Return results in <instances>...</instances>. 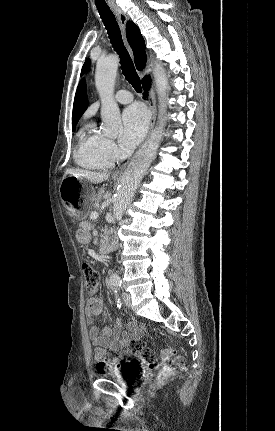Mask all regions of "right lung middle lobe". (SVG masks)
I'll return each mask as SVG.
<instances>
[{"instance_id": "dd1d6c3e", "label": "right lung middle lobe", "mask_w": 275, "mask_h": 431, "mask_svg": "<svg viewBox=\"0 0 275 431\" xmlns=\"http://www.w3.org/2000/svg\"><path fill=\"white\" fill-rule=\"evenodd\" d=\"M75 126H76V125H73V126H72V130H74V129H75Z\"/></svg>"}]
</instances>
